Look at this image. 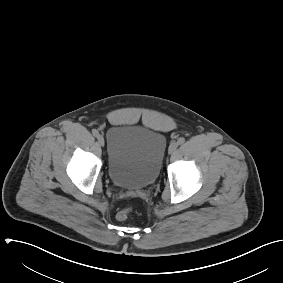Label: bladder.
Masks as SVG:
<instances>
[{
    "instance_id": "bladder-1",
    "label": "bladder",
    "mask_w": 283,
    "mask_h": 283,
    "mask_svg": "<svg viewBox=\"0 0 283 283\" xmlns=\"http://www.w3.org/2000/svg\"><path fill=\"white\" fill-rule=\"evenodd\" d=\"M108 175L118 187L141 190L159 176L166 150L160 131L140 125L113 126L107 132Z\"/></svg>"
}]
</instances>
